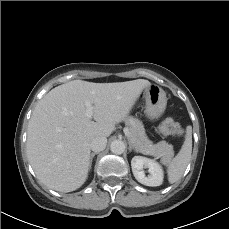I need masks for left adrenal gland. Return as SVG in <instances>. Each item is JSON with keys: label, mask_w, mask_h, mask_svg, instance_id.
Here are the masks:
<instances>
[{"label": "left adrenal gland", "mask_w": 229, "mask_h": 229, "mask_svg": "<svg viewBox=\"0 0 229 229\" xmlns=\"http://www.w3.org/2000/svg\"><path fill=\"white\" fill-rule=\"evenodd\" d=\"M132 150H134L135 152H139L137 149H135L134 147H133V145L129 142V151L131 152Z\"/></svg>", "instance_id": "left-adrenal-gland-1"}]
</instances>
